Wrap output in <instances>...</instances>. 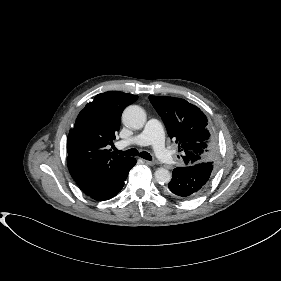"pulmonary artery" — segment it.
<instances>
[{
  "mask_svg": "<svg viewBox=\"0 0 281 281\" xmlns=\"http://www.w3.org/2000/svg\"><path fill=\"white\" fill-rule=\"evenodd\" d=\"M133 144L140 146L151 145L156 156L162 163L166 165H172L175 163L174 155L165 146L163 128L160 121L157 119H150L140 134L130 139L119 140L116 143V146L119 149H122Z\"/></svg>",
  "mask_w": 281,
  "mask_h": 281,
  "instance_id": "pulmonary-artery-1",
  "label": "pulmonary artery"
}]
</instances>
